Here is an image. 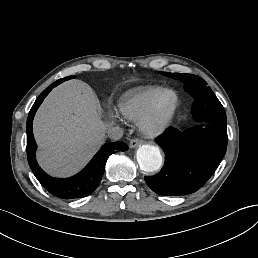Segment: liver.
Returning <instances> with one entry per match:
<instances>
[{"label":"liver","instance_id":"6515ba94","mask_svg":"<svg viewBox=\"0 0 258 258\" xmlns=\"http://www.w3.org/2000/svg\"><path fill=\"white\" fill-rule=\"evenodd\" d=\"M99 101L84 81L71 79L56 86L33 119L36 161L49 176L79 173L105 143L112 118L98 113Z\"/></svg>","mask_w":258,"mask_h":258}]
</instances>
